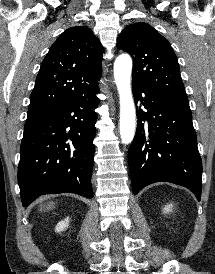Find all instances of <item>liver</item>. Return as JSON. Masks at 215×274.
<instances>
[{"mask_svg": "<svg viewBox=\"0 0 215 274\" xmlns=\"http://www.w3.org/2000/svg\"><path fill=\"white\" fill-rule=\"evenodd\" d=\"M53 206V203L49 204L48 207H46L47 209H52Z\"/></svg>", "mask_w": 215, "mask_h": 274, "instance_id": "6515ba94", "label": "liver"}]
</instances>
